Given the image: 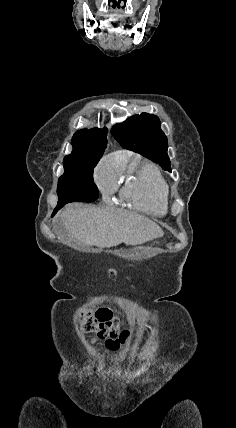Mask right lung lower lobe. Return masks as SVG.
I'll return each instance as SVG.
<instances>
[{"label": "right lung lower lobe", "mask_w": 236, "mask_h": 428, "mask_svg": "<svg viewBox=\"0 0 236 428\" xmlns=\"http://www.w3.org/2000/svg\"><path fill=\"white\" fill-rule=\"evenodd\" d=\"M58 210H54L53 215L57 212Z\"/></svg>", "instance_id": "obj_1"}]
</instances>
